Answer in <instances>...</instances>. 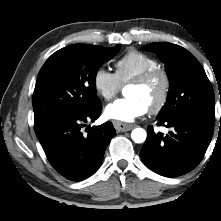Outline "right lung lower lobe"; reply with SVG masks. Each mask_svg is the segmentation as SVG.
I'll return each mask as SVG.
<instances>
[{
	"label": "right lung lower lobe",
	"mask_w": 221,
	"mask_h": 221,
	"mask_svg": "<svg viewBox=\"0 0 221 221\" xmlns=\"http://www.w3.org/2000/svg\"><path fill=\"white\" fill-rule=\"evenodd\" d=\"M101 109L99 103L87 112L64 115L36 134L52 167L68 180L81 181L92 176L116 134L111 122L83 133L85 123L96 120Z\"/></svg>",
	"instance_id": "98d812e1"
}]
</instances>
